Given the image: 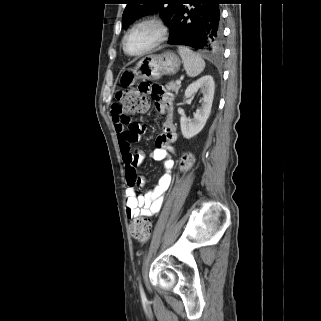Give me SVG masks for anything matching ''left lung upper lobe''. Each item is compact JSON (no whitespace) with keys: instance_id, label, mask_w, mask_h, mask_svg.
Wrapping results in <instances>:
<instances>
[{"instance_id":"1","label":"left lung upper lobe","mask_w":321,"mask_h":321,"mask_svg":"<svg viewBox=\"0 0 321 321\" xmlns=\"http://www.w3.org/2000/svg\"><path fill=\"white\" fill-rule=\"evenodd\" d=\"M181 1L182 0H127V6L122 16L123 28H128L136 19L152 13H159L164 23L169 26Z\"/></svg>"}]
</instances>
